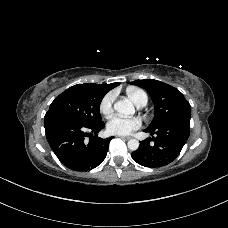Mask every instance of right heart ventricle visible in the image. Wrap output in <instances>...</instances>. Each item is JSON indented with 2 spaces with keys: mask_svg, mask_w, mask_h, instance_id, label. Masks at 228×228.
<instances>
[{
  "mask_svg": "<svg viewBox=\"0 0 228 228\" xmlns=\"http://www.w3.org/2000/svg\"><path fill=\"white\" fill-rule=\"evenodd\" d=\"M127 94L129 98L136 104V105H141V104H147L148 97L147 94L138 88L134 87H128L127 88Z\"/></svg>",
  "mask_w": 228,
  "mask_h": 228,
  "instance_id": "e07e8e85",
  "label": "right heart ventricle"
}]
</instances>
